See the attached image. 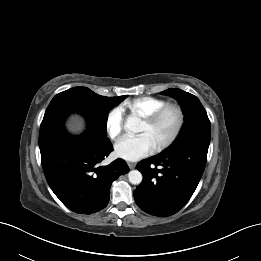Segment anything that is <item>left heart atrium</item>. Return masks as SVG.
Instances as JSON below:
<instances>
[{"label":"left heart atrium","instance_id":"39dd6f15","mask_svg":"<svg viewBox=\"0 0 261 261\" xmlns=\"http://www.w3.org/2000/svg\"><path fill=\"white\" fill-rule=\"evenodd\" d=\"M115 153L128 161H136L152 152L154 146L145 134H126L115 143Z\"/></svg>","mask_w":261,"mask_h":261}]
</instances>
